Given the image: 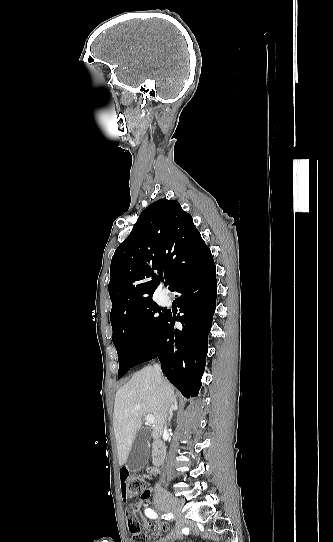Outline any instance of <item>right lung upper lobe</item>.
Returning a JSON list of instances; mask_svg holds the SVG:
<instances>
[{
  "label": "right lung upper lobe",
  "mask_w": 333,
  "mask_h": 542,
  "mask_svg": "<svg viewBox=\"0 0 333 542\" xmlns=\"http://www.w3.org/2000/svg\"><path fill=\"white\" fill-rule=\"evenodd\" d=\"M201 239L178 201L162 198L150 204L112 257L111 319L153 302L161 281L155 271L164 273L171 287L177 276V251Z\"/></svg>",
  "instance_id": "right-lung-upper-lobe-1"
}]
</instances>
